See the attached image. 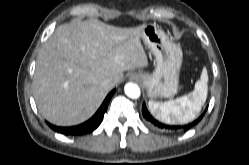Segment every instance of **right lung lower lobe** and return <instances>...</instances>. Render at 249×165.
Masks as SVG:
<instances>
[{
    "instance_id": "obj_1",
    "label": "right lung lower lobe",
    "mask_w": 249,
    "mask_h": 165,
    "mask_svg": "<svg viewBox=\"0 0 249 165\" xmlns=\"http://www.w3.org/2000/svg\"><path fill=\"white\" fill-rule=\"evenodd\" d=\"M115 90L111 91L107 97L105 98L104 102L102 103V105L100 106V108L98 109V111L95 113V115L89 119L88 121H86L83 124L77 125V126H73V127H57L54 126L52 124L48 125L55 131L62 133L64 135H83L86 133H90L93 130H95L100 123L102 122L104 113L107 110L109 101L112 97V95L114 94Z\"/></svg>"
}]
</instances>
